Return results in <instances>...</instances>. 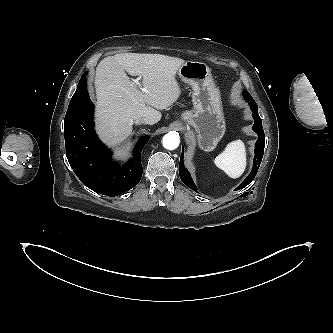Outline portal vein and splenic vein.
Returning <instances> with one entry per match:
<instances>
[{
    "mask_svg": "<svg viewBox=\"0 0 333 333\" xmlns=\"http://www.w3.org/2000/svg\"><path fill=\"white\" fill-rule=\"evenodd\" d=\"M139 79H140V77L137 78V79H135V80H133L134 84H136L141 89L142 92H147V89L143 88L141 86V84L139 83Z\"/></svg>",
    "mask_w": 333,
    "mask_h": 333,
    "instance_id": "18ae733b",
    "label": "portal vein and splenic vein"
}]
</instances>
